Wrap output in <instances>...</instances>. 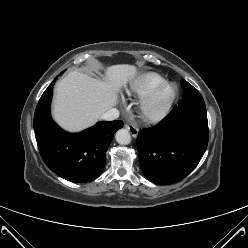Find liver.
<instances>
[{"label":"liver","mask_w":248,"mask_h":248,"mask_svg":"<svg viewBox=\"0 0 248 248\" xmlns=\"http://www.w3.org/2000/svg\"><path fill=\"white\" fill-rule=\"evenodd\" d=\"M137 74L135 66L121 64L106 69L104 80L72 71L55 87L53 117L65 130L81 131L115 106L118 93Z\"/></svg>","instance_id":"liver-1"}]
</instances>
